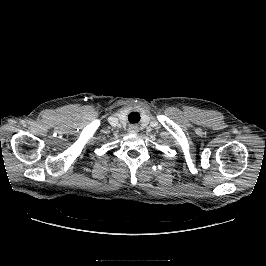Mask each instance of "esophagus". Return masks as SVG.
Listing matches in <instances>:
<instances>
[{
	"mask_svg": "<svg viewBox=\"0 0 266 266\" xmlns=\"http://www.w3.org/2000/svg\"><path fill=\"white\" fill-rule=\"evenodd\" d=\"M129 132H130V133H137V132H138V128H137V126H135V125H131V126L129 127Z\"/></svg>",
	"mask_w": 266,
	"mask_h": 266,
	"instance_id": "1",
	"label": "esophagus"
}]
</instances>
